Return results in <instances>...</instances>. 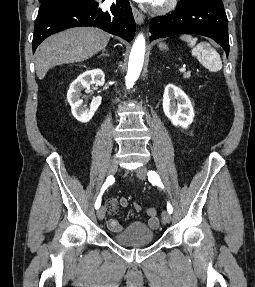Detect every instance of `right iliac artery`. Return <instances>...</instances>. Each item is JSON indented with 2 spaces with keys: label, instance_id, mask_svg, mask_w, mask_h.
Listing matches in <instances>:
<instances>
[{
  "label": "right iliac artery",
  "instance_id": "82829eb1",
  "mask_svg": "<svg viewBox=\"0 0 255 287\" xmlns=\"http://www.w3.org/2000/svg\"><path fill=\"white\" fill-rule=\"evenodd\" d=\"M115 179L113 176H109L107 177L105 183L103 184L102 188H101V191H100V194L99 196L97 197V200L95 202V208L98 209L101 205V197H102V194L104 193V191L114 183Z\"/></svg>",
  "mask_w": 255,
  "mask_h": 287
}]
</instances>
